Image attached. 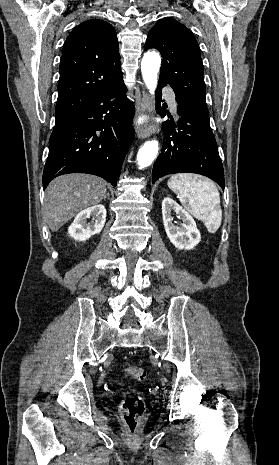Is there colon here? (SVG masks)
<instances>
[{
    "mask_svg": "<svg viewBox=\"0 0 279 465\" xmlns=\"http://www.w3.org/2000/svg\"><path fill=\"white\" fill-rule=\"evenodd\" d=\"M124 370L138 381L146 379V371L141 367L125 364ZM144 411L145 402L140 396L128 395L123 399L120 406V415L129 432L134 433L137 431Z\"/></svg>",
    "mask_w": 279,
    "mask_h": 465,
    "instance_id": "5ec220e1",
    "label": "colon"
}]
</instances>
